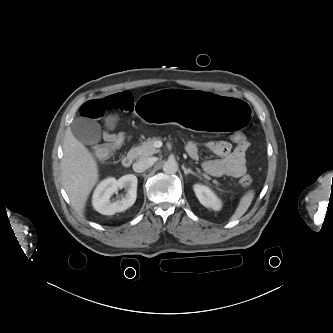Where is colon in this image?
<instances>
[{"instance_id":"1","label":"colon","mask_w":333,"mask_h":333,"mask_svg":"<svg viewBox=\"0 0 333 333\" xmlns=\"http://www.w3.org/2000/svg\"><path fill=\"white\" fill-rule=\"evenodd\" d=\"M107 143L104 145L96 146L93 149V153L98 160L104 161L112 156V154L117 150L125 140L124 134H106ZM231 140L235 144H242L247 141L245 135L239 131H235L231 135ZM253 182V179L250 175H244L240 183L244 187H249Z\"/></svg>"}]
</instances>
